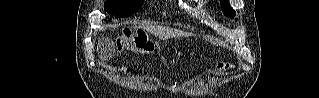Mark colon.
Segmentation results:
<instances>
[{"instance_id":"obj_1","label":"colon","mask_w":319,"mask_h":98,"mask_svg":"<svg viewBox=\"0 0 319 98\" xmlns=\"http://www.w3.org/2000/svg\"><path fill=\"white\" fill-rule=\"evenodd\" d=\"M118 50H131L143 56H151L155 53V46L143 30L125 29L116 39ZM219 68L228 69L229 66L219 65Z\"/></svg>"}]
</instances>
